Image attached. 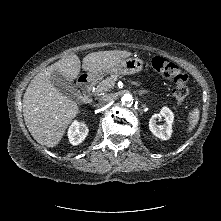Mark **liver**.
I'll list each match as a JSON object with an SVG mask.
<instances>
[{"instance_id":"liver-1","label":"liver","mask_w":221,"mask_h":221,"mask_svg":"<svg viewBox=\"0 0 221 221\" xmlns=\"http://www.w3.org/2000/svg\"><path fill=\"white\" fill-rule=\"evenodd\" d=\"M130 55L131 52L120 50L93 52L83 58L82 68L90 73L106 71ZM80 68L78 56L71 54L43 69L27 87L23 96V116L29 132L39 144L51 148L58 145L79 113L77 103L53 86L52 73L57 71L73 82L80 74Z\"/></svg>"}]
</instances>
